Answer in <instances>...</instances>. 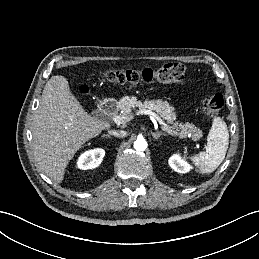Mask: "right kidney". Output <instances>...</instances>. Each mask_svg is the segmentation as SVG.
Segmentation results:
<instances>
[{
    "mask_svg": "<svg viewBox=\"0 0 259 259\" xmlns=\"http://www.w3.org/2000/svg\"><path fill=\"white\" fill-rule=\"evenodd\" d=\"M105 151L101 148L88 150L80 155L77 167L82 170L94 169L102 162Z\"/></svg>",
    "mask_w": 259,
    "mask_h": 259,
    "instance_id": "1",
    "label": "right kidney"
}]
</instances>
